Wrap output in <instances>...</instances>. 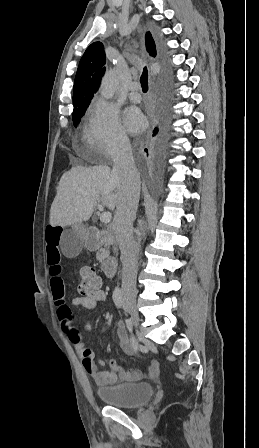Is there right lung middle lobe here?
I'll use <instances>...</instances> for the list:
<instances>
[{
    "label": "right lung middle lobe",
    "mask_w": 259,
    "mask_h": 448,
    "mask_svg": "<svg viewBox=\"0 0 259 448\" xmlns=\"http://www.w3.org/2000/svg\"><path fill=\"white\" fill-rule=\"evenodd\" d=\"M86 108L76 109L73 111V124L76 127L80 122L81 117L84 115Z\"/></svg>",
    "instance_id": "right-lung-middle-lobe-1"
}]
</instances>
